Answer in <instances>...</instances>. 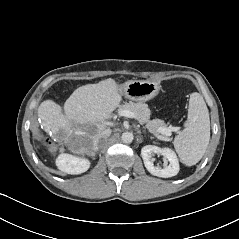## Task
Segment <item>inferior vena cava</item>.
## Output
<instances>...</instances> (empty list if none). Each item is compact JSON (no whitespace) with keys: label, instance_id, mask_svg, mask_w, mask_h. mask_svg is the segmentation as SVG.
Returning <instances> with one entry per match:
<instances>
[{"label":"inferior vena cava","instance_id":"1","mask_svg":"<svg viewBox=\"0 0 239 239\" xmlns=\"http://www.w3.org/2000/svg\"><path fill=\"white\" fill-rule=\"evenodd\" d=\"M109 135H110L109 130H104L103 132H101L95 140L96 147L102 145L104 140H106L109 137Z\"/></svg>","mask_w":239,"mask_h":239}]
</instances>
